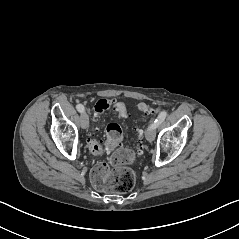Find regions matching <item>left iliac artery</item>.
I'll return each instance as SVG.
<instances>
[{"label":"left iliac artery","mask_w":239,"mask_h":239,"mask_svg":"<svg viewBox=\"0 0 239 239\" xmlns=\"http://www.w3.org/2000/svg\"><path fill=\"white\" fill-rule=\"evenodd\" d=\"M167 111H162L154 121V127H158L166 118Z\"/></svg>","instance_id":"1"}]
</instances>
